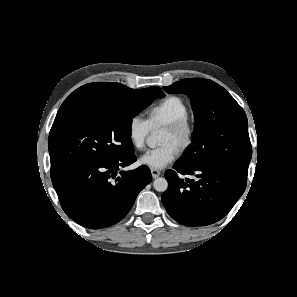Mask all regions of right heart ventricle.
<instances>
[{"instance_id": "obj_1", "label": "right heart ventricle", "mask_w": 297, "mask_h": 297, "mask_svg": "<svg viewBox=\"0 0 297 297\" xmlns=\"http://www.w3.org/2000/svg\"><path fill=\"white\" fill-rule=\"evenodd\" d=\"M188 115L185 101L178 96L170 95L160 100L147 111L150 128L165 126Z\"/></svg>"}]
</instances>
